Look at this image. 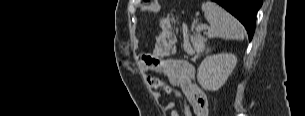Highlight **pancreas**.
Segmentation results:
<instances>
[{
    "instance_id": "1",
    "label": "pancreas",
    "mask_w": 305,
    "mask_h": 116,
    "mask_svg": "<svg viewBox=\"0 0 305 116\" xmlns=\"http://www.w3.org/2000/svg\"><path fill=\"white\" fill-rule=\"evenodd\" d=\"M206 41H207V39L205 37L201 36L199 33H196L191 37V43H192L194 49H192L190 47H184V50L189 55H193L195 52L197 54H201L205 50Z\"/></svg>"
}]
</instances>
